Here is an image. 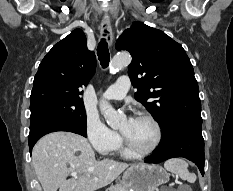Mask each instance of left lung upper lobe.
<instances>
[{
    "label": "left lung upper lobe",
    "mask_w": 233,
    "mask_h": 191,
    "mask_svg": "<svg viewBox=\"0 0 233 191\" xmlns=\"http://www.w3.org/2000/svg\"><path fill=\"white\" fill-rule=\"evenodd\" d=\"M116 49L132 55L128 73L137 88L134 97L159 123L163 137L179 124H202L193 66L179 43L161 30L134 22L118 38Z\"/></svg>",
    "instance_id": "1"
}]
</instances>
